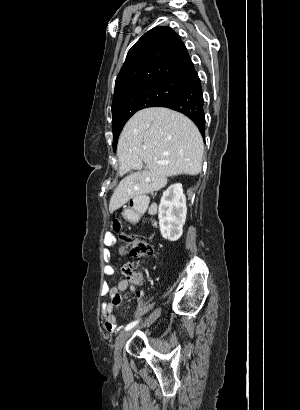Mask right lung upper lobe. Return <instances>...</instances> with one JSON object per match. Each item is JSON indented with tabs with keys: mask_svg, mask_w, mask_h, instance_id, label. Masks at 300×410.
Wrapping results in <instances>:
<instances>
[{
	"mask_svg": "<svg viewBox=\"0 0 300 410\" xmlns=\"http://www.w3.org/2000/svg\"><path fill=\"white\" fill-rule=\"evenodd\" d=\"M195 73L187 49L175 31L166 26L155 27L129 50L115 81L113 102L130 88L163 82L188 83Z\"/></svg>",
	"mask_w": 300,
	"mask_h": 410,
	"instance_id": "1",
	"label": "right lung upper lobe"
}]
</instances>
